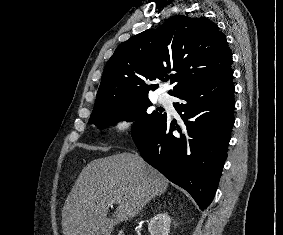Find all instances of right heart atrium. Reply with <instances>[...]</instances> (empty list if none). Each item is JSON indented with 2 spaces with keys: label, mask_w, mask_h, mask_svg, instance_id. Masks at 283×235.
<instances>
[{
  "label": "right heart atrium",
  "mask_w": 283,
  "mask_h": 235,
  "mask_svg": "<svg viewBox=\"0 0 283 235\" xmlns=\"http://www.w3.org/2000/svg\"><path fill=\"white\" fill-rule=\"evenodd\" d=\"M132 125V121L128 116L121 115L114 121V132L119 135L126 132Z\"/></svg>",
  "instance_id": "right-heart-atrium-1"
}]
</instances>
